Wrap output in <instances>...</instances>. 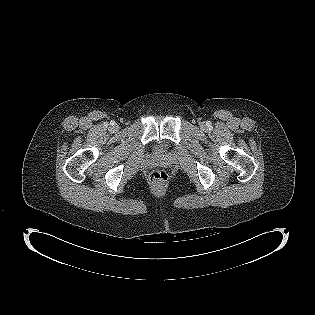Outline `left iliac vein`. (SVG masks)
<instances>
[{
    "mask_svg": "<svg viewBox=\"0 0 315 315\" xmlns=\"http://www.w3.org/2000/svg\"><path fill=\"white\" fill-rule=\"evenodd\" d=\"M201 127L204 128V127H205V124H204V123H201Z\"/></svg>",
    "mask_w": 315,
    "mask_h": 315,
    "instance_id": "1",
    "label": "left iliac vein"
}]
</instances>
